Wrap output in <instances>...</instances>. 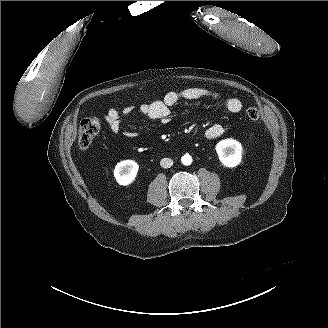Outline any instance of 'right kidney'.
<instances>
[{"label": "right kidney", "instance_id": "obj_1", "mask_svg": "<svg viewBox=\"0 0 328 328\" xmlns=\"http://www.w3.org/2000/svg\"><path fill=\"white\" fill-rule=\"evenodd\" d=\"M139 165L134 160H123L114 169V176L120 186L132 184L138 174Z\"/></svg>", "mask_w": 328, "mask_h": 328}]
</instances>
